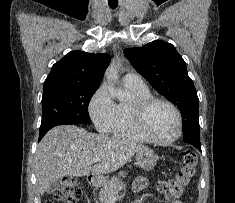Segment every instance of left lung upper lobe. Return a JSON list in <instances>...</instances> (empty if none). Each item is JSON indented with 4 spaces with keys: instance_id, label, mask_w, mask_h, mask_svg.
<instances>
[{
    "instance_id": "obj_1",
    "label": "left lung upper lobe",
    "mask_w": 235,
    "mask_h": 203,
    "mask_svg": "<svg viewBox=\"0 0 235 203\" xmlns=\"http://www.w3.org/2000/svg\"><path fill=\"white\" fill-rule=\"evenodd\" d=\"M124 54L154 89L177 105L182 114L183 135L190 134L199 143V100L185 61L175 47L155 40L143 47L126 49Z\"/></svg>"
}]
</instances>
